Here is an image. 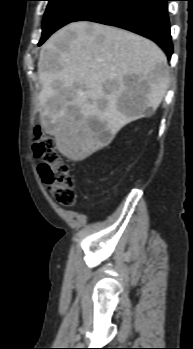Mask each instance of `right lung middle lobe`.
<instances>
[{
    "label": "right lung middle lobe",
    "instance_id": "dd1d6c3e",
    "mask_svg": "<svg viewBox=\"0 0 193 349\" xmlns=\"http://www.w3.org/2000/svg\"><path fill=\"white\" fill-rule=\"evenodd\" d=\"M39 46L56 30L72 22L97 0H47Z\"/></svg>",
    "mask_w": 193,
    "mask_h": 349
}]
</instances>
